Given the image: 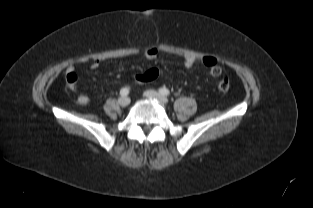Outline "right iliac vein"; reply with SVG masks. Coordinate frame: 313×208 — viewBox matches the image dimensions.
Returning <instances> with one entry per match:
<instances>
[{
  "label": "right iliac vein",
  "mask_w": 313,
  "mask_h": 208,
  "mask_svg": "<svg viewBox=\"0 0 313 208\" xmlns=\"http://www.w3.org/2000/svg\"><path fill=\"white\" fill-rule=\"evenodd\" d=\"M118 104L120 106H122V107H126V106H128L130 104V99L128 97H126V96L120 97L118 99Z\"/></svg>",
  "instance_id": "63e3f726"
}]
</instances>
